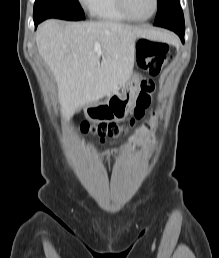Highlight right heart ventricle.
I'll list each match as a JSON object with an SVG mask.
<instances>
[{"label":"right heart ventricle","instance_id":"obj_1","mask_svg":"<svg viewBox=\"0 0 219 258\" xmlns=\"http://www.w3.org/2000/svg\"><path fill=\"white\" fill-rule=\"evenodd\" d=\"M92 14L106 21L123 22L128 19L121 13L117 0H95L91 8Z\"/></svg>","mask_w":219,"mask_h":258}]
</instances>
